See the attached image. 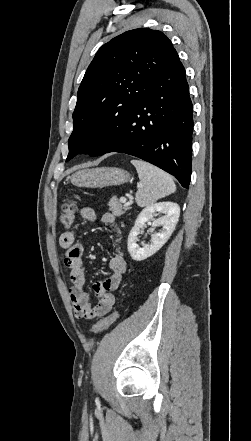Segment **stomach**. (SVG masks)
<instances>
[{"label": "stomach", "instance_id": "1", "mask_svg": "<svg viewBox=\"0 0 251 441\" xmlns=\"http://www.w3.org/2000/svg\"><path fill=\"white\" fill-rule=\"evenodd\" d=\"M130 179V174L121 168L97 167L79 170L71 175L74 186L82 188H104L121 185Z\"/></svg>", "mask_w": 251, "mask_h": 441}]
</instances>
